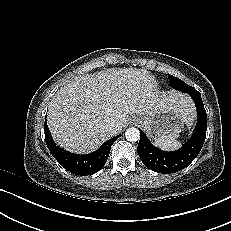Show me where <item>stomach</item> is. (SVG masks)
Returning a JSON list of instances; mask_svg holds the SVG:
<instances>
[{
    "instance_id": "obj_1",
    "label": "stomach",
    "mask_w": 231,
    "mask_h": 231,
    "mask_svg": "<svg viewBox=\"0 0 231 231\" xmlns=\"http://www.w3.org/2000/svg\"><path fill=\"white\" fill-rule=\"evenodd\" d=\"M138 121L151 139L165 135H175L183 128L182 112L171 105L151 114L139 115Z\"/></svg>"
}]
</instances>
